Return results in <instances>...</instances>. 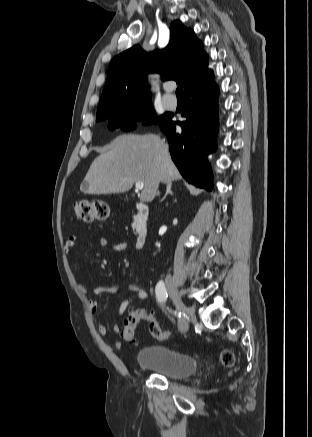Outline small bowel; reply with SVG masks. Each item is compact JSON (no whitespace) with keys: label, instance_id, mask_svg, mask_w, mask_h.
<instances>
[{"label":"small bowel","instance_id":"obj_1","mask_svg":"<svg viewBox=\"0 0 312 437\" xmlns=\"http://www.w3.org/2000/svg\"><path fill=\"white\" fill-rule=\"evenodd\" d=\"M77 241H78L77 235L73 234V235L69 236V238L67 239V241L64 245V251L66 254H70L72 252V250L77 245ZM98 243L101 247L110 248L111 250H113L115 252H123L127 249V243L123 242V241L110 242L107 238H100ZM80 289L86 296H89V295H98V294L105 293V292H107V293L114 292L116 290V286L115 285L100 286V287L93 289L92 291H88L86 288H84L82 286H80ZM129 290L135 295V297L138 301H143L147 298V291L136 284H130ZM88 304H89V308H90L92 313L95 314L98 312L99 307H98V304L95 300L90 299ZM132 304H133V302L130 300H124V301L120 302L118 309H117V313L119 315H123L124 313H126L130 309ZM97 327H98L99 333L102 335H106L109 331L108 326L104 323H99ZM111 330L114 333H118L120 331V326L118 324H116L111 328ZM112 346L115 349H120L121 342L118 340H114L112 342Z\"/></svg>","mask_w":312,"mask_h":437}]
</instances>
